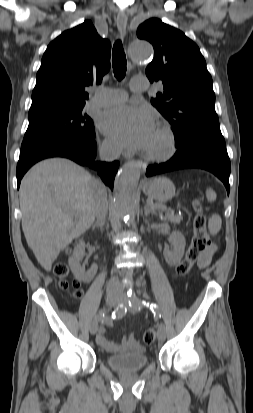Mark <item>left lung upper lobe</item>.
<instances>
[{"mask_svg": "<svg viewBox=\"0 0 253 413\" xmlns=\"http://www.w3.org/2000/svg\"><path fill=\"white\" fill-rule=\"evenodd\" d=\"M137 36L154 47L155 56L146 75L151 82L162 81L163 90L151 103L170 122L175 138L207 121L218 124L212 78L198 46L157 18L142 23Z\"/></svg>", "mask_w": 253, "mask_h": 413, "instance_id": "left-lung-upper-lobe-1", "label": "left lung upper lobe"}]
</instances>
